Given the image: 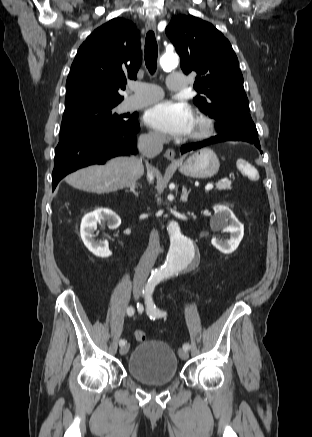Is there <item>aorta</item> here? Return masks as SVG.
Listing matches in <instances>:
<instances>
[{
  "label": "aorta",
  "instance_id": "aorta-1",
  "mask_svg": "<svg viewBox=\"0 0 312 437\" xmlns=\"http://www.w3.org/2000/svg\"><path fill=\"white\" fill-rule=\"evenodd\" d=\"M160 65L163 69H173L178 65V56L174 53H166L160 58ZM167 231L170 237V248L160 272L173 275L186 267L197 256V251L192 241L181 233L177 222L170 221Z\"/></svg>",
  "mask_w": 312,
  "mask_h": 437
}]
</instances>
